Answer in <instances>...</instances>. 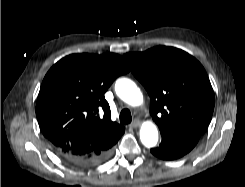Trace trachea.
<instances>
[{"mask_svg": "<svg viewBox=\"0 0 245 187\" xmlns=\"http://www.w3.org/2000/svg\"><path fill=\"white\" fill-rule=\"evenodd\" d=\"M120 122L123 124H129L132 121L131 112L128 109H123L120 113Z\"/></svg>", "mask_w": 245, "mask_h": 187, "instance_id": "3493384b", "label": "trachea"}]
</instances>
